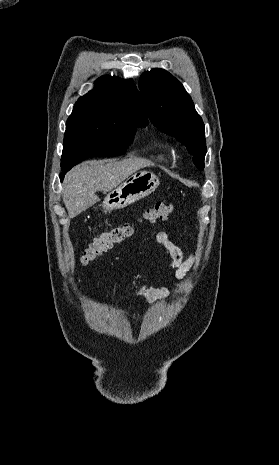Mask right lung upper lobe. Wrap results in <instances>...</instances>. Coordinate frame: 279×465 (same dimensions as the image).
<instances>
[{"label": "right lung upper lobe", "mask_w": 279, "mask_h": 465, "mask_svg": "<svg viewBox=\"0 0 279 465\" xmlns=\"http://www.w3.org/2000/svg\"><path fill=\"white\" fill-rule=\"evenodd\" d=\"M123 120L148 124L138 90L132 80L102 76L95 89L75 103L66 128L99 126Z\"/></svg>", "instance_id": "cb5924a9"}]
</instances>
